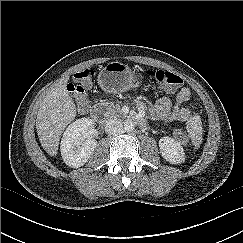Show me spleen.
Here are the masks:
<instances>
[{"instance_id": "3e777b00", "label": "spleen", "mask_w": 243, "mask_h": 243, "mask_svg": "<svg viewBox=\"0 0 243 243\" xmlns=\"http://www.w3.org/2000/svg\"><path fill=\"white\" fill-rule=\"evenodd\" d=\"M187 128L194 144L199 145L202 142V122L200 116L195 115L191 117Z\"/></svg>"}]
</instances>
